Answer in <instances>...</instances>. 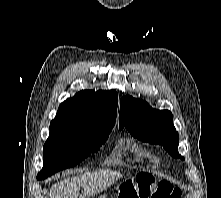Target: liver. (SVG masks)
I'll list each match as a JSON object with an SVG mask.
<instances>
[{
	"label": "liver",
	"mask_w": 221,
	"mask_h": 198,
	"mask_svg": "<svg viewBox=\"0 0 221 198\" xmlns=\"http://www.w3.org/2000/svg\"><path fill=\"white\" fill-rule=\"evenodd\" d=\"M121 177V173L112 170H98L68 177L51 186L50 198H78L81 187L84 193L80 198H89L101 193Z\"/></svg>",
	"instance_id": "obj_1"
}]
</instances>
